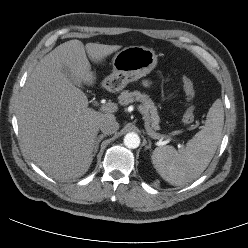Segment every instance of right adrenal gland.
Masks as SVG:
<instances>
[{
  "label": "right adrenal gland",
  "instance_id": "right-adrenal-gland-1",
  "mask_svg": "<svg viewBox=\"0 0 248 248\" xmlns=\"http://www.w3.org/2000/svg\"><path fill=\"white\" fill-rule=\"evenodd\" d=\"M106 137V135H99L94 142V150H93V157L96 155L98 148H99V143Z\"/></svg>",
  "mask_w": 248,
  "mask_h": 248
}]
</instances>
